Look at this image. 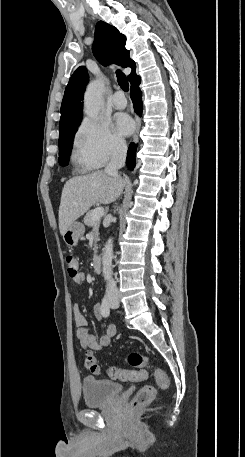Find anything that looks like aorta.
<instances>
[{
	"instance_id": "1",
	"label": "aorta",
	"mask_w": 245,
	"mask_h": 457,
	"mask_svg": "<svg viewBox=\"0 0 245 457\" xmlns=\"http://www.w3.org/2000/svg\"><path fill=\"white\" fill-rule=\"evenodd\" d=\"M104 83L96 79L92 81L84 95V112L87 116L97 119L101 108L104 105L103 101ZM113 260V238H109L106 242L102 254V270L105 280H110L112 273Z\"/></svg>"
}]
</instances>
